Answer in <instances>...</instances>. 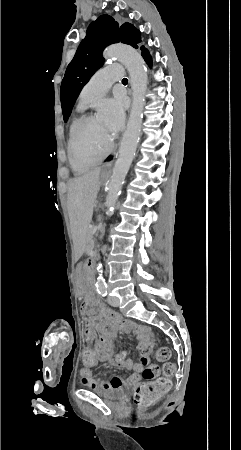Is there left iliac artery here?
Returning a JSON list of instances; mask_svg holds the SVG:
<instances>
[{
  "label": "left iliac artery",
  "instance_id": "left-iliac-artery-1",
  "mask_svg": "<svg viewBox=\"0 0 241 450\" xmlns=\"http://www.w3.org/2000/svg\"><path fill=\"white\" fill-rule=\"evenodd\" d=\"M97 291L101 296L105 297L107 295V285H99Z\"/></svg>",
  "mask_w": 241,
  "mask_h": 450
}]
</instances>
